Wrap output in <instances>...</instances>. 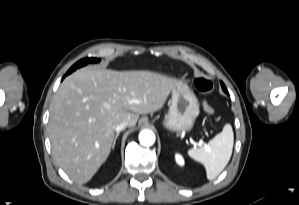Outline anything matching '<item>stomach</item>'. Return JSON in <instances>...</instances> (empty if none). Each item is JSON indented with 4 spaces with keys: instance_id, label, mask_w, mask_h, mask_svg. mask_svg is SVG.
Returning a JSON list of instances; mask_svg holds the SVG:
<instances>
[{
    "instance_id": "1",
    "label": "stomach",
    "mask_w": 299,
    "mask_h": 205,
    "mask_svg": "<svg viewBox=\"0 0 299 205\" xmlns=\"http://www.w3.org/2000/svg\"><path fill=\"white\" fill-rule=\"evenodd\" d=\"M199 115V103L193 91L178 82L171 91L170 106L163 125L174 132L190 131Z\"/></svg>"
}]
</instances>
